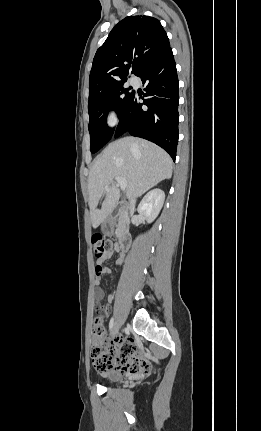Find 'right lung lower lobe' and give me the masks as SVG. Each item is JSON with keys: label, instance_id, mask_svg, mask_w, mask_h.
Instances as JSON below:
<instances>
[{"label": "right lung lower lobe", "instance_id": "obj_1", "mask_svg": "<svg viewBox=\"0 0 261 431\" xmlns=\"http://www.w3.org/2000/svg\"><path fill=\"white\" fill-rule=\"evenodd\" d=\"M146 93L135 91L120 116L115 138L129 132L154 142L175 161L178 144L179 86L171 47L148 62L136 75ZM143 99V103H139Z\"/></svg>", "mask_w": 261, "mask_h": 431}]
</instances>
